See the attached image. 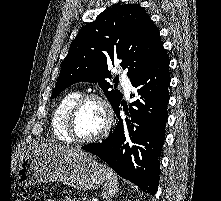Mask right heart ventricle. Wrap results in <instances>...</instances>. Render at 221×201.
Instances as JSON below:
<instances>
[{
	"instance_id": "right-heart-ventricle-1",
	"label": "right heart ventricle",
	"mask_w": 221,
	"mask_h": 201,
	"mask_svg": "<svg viewBox=\"0 0 221 201\" xmlns=\"http://www.w3.org/2000/svg\"><path fill=\"white\" fill-rule=\"evenodd\" d=\"M81 96L80 91L73 90L66 93L57 104L52 116V129L57 139L63 142H72L66 130V121L69 111L76 100Z\"/></svg>"
}]
</instances>
